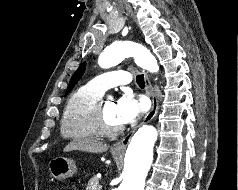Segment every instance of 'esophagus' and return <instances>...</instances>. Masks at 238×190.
I'll return each instance as SVG.
<instances>
[{"label":"esophagus","mask_w":238,"mask_h":190,"mask_svg":"<svg viewBox=\"0 0 238 190\" xmlns=\"http://www.w3.org/2000/svg\"><path fill=\"white\" fill-rule=\"evenodd\" d=\"M143 74H144V79H145L146 92H147V94L149 95V97L151 98V101H152V108L147 113V115L145 116V118L141 122L140 126L145 124V123H149L157 115L158 109H159L158 99H157L156 93L153 89V86L150 82V79L148 77V74L145 71H143ZM133 133H134V130L132 132L128 133L120 141L115 143L113 145L112 149L116 152H124L128 143L131 140V137H132Z\"/></svg>","instance_id":"1"}]
</instances>
